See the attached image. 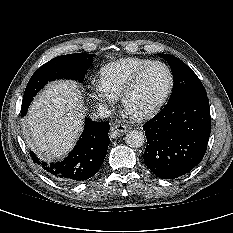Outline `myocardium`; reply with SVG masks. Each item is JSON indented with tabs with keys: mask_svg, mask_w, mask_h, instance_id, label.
<instances>
[{
	"mask_svg": "<svg viewBox=\"0 0 233 233\" xmlns=\"http://www.w3.org/2000/svg\"><path fill=\"white\" fill-rule=\"evenodd\" d=\"M153 66H162L166 69V71L169 75L168 86H167L166 90L164 91V93L161 95V97L153 105H151L150 107H148L144 110H141V111H132L128 106V98H129L130 94L133 92V90L136 88V86L138 85L143 74L149 68H151ZM173 86H174V75H173L171 68L164 62L152 61V62L144 65L143 67H141L132 76V78L129 80V82L127 83V85L123 89L121 96H120L122 107H123L124 111L132 118H135L138 120L149 118V117L153 116L154 114H156L160 110V108L163 106V104L166 102L169 95L171 94V92L173 90Z\"/></svg>",
	"mask_w": 233,
	"mask_h": 233,
	"instance_id": "obj_1",
	"label": "myocardium"
}]
</instances>
